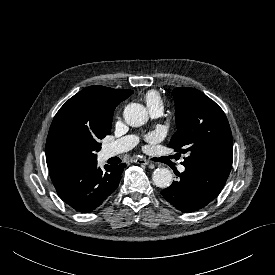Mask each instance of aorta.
Returning a JSON list of instances; mask_svg holds the SVG:
<instances>
[{"instance_id":"1","label":"aorta","mask_w":275,"mask_h":275,"mask_svg":"<svg viewBox=\"0 0 275 275\" xmlns=\"http://www.w3.org/2000/svg\"><path fill=\"white\" fill-rule=\"evenodd\" d=\"M123 117L129 126L139 127L147 122L148 112L143 105L131 103L125 107ZM152 180L157 187L167 188L172 183V173L167 168H157L152 175Z\"/></svg>"}]
</instances>
